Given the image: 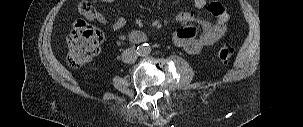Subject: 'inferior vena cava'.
<instances>
[{"label": "inferior vena cava", "instance_id": "1", "mask_svg": "<svg viewBox=\"0 0 303 127\" xmlns=\"http://www.w3.org/2000/svg\"><path fill=\"white\" fill-rule=\"evenodd\" d=\"M138 58V52L133 48H128L122 53V61L124 63H134Z\"/></svg>", "mask_w": 303, "mask_h": 127}]
</instances>
